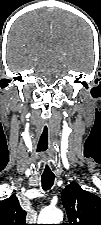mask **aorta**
Returning a JSON list of instances; mask_svg holds the SVG:
<instances>
[{
	"instance_id": "1",
	"label": "aorta",
	"mask_w": 101,
	"mask_h": 225,
	"mask_svg": "<svg viewBox=\"0 0 101 225\" xmlns=\"http://www.w3.org/2000/svg\"><path fill=\"white\" fill-rule=\"evenodd\" d=\"M63 219V213L58 208L44 209L38 218V224H59Z\"/></svg>"
}]
</instances>
